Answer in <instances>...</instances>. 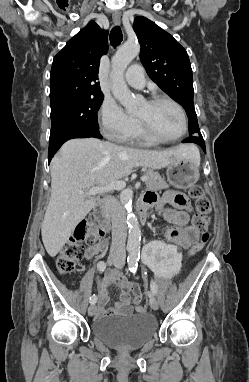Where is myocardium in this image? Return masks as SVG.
Instances as JSON below:
<instances>
[{
  "label": "myocardium",
  "instance_id": "obj_1",
  "mask_svg": "<svg viewBox=\"0 0 249 382\" xmlns=\"http://www.w3.org/2000/svg\"><path fill=\"white\" fill-rule=\"evenodd\" d=\"M160 102L170 103L171 105H173L178 110V112L181 116V119H182V126H183L181 133L174 138L161 137L146 122H144L140 118H137L140 130L146 138H148L154 142H157V143H174V142H177L180 139H182L188 131V119H187L186 112H185L184 108L176 100H174L168 96L157 95V96H154L147 101V103L150 105H154V104H157Z\"/></svg>",
  "mask_w": 249,
  "mask_h": 382
}]
</instances>
